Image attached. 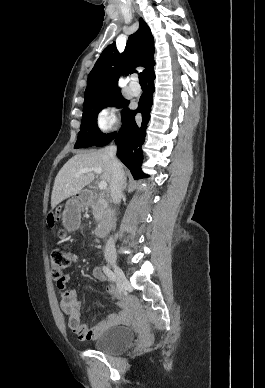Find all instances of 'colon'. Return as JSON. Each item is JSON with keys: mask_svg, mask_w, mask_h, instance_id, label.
I'll list each match as a JSON object with an SVG mask.
<instances>
[{"mask_svg": "<svg viewBox=\"0 0 265 388\" xmlns=\"http://www.w3.org/2000/svg\"><path fill=\"white\" fill-rule=\"evenodd\" d=\"M51 222L54 224V217H51ZM75 261V255L65 249H55L51 254V275L58 289L62 292L65 291L66 282L65 275L66 270L72 265Z\"/></svg>", "mask_w": 265, "mask_h": 388, "instance_id": "5ec220e1", "label": "colon"}]
</instances>
